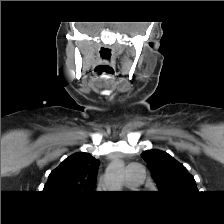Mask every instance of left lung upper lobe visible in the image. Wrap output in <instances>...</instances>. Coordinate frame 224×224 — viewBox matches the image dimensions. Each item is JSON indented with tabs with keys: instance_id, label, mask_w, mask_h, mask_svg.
I'll list each match as a JSON object with an SVG mask.
<instances>
[{
	"instance_id": "1",
	"label": "left lung upper lobe",
	"mask_w": 224,
	"mask_h": 224,
	"mask_svg": "<svg viewBox=\"0 0 224 224\" xmlns=\"http://www.w3.org/2000/svg\"><path fill=\"white\" fill-rule=\"evenodd\" d=\"M141 156L147 162L160 193L177 197L198 192L192 175L168 153L152 149L144 151Z\"/></svg>"
}]
</instances>
